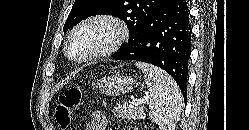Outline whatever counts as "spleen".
I'll return each instance as SVG.
<instances>
[{"label": "spleen", "instance_id": "3e777b00", "mask_svg": "<svg viewBox=\"0 0 249 130\" xmlns=\"http://www.w3.org/2000/svg\"><path fill=\"white\" fill-rule=\"evenodd\" d=\"M148 87L149 118L160 130H174L182 110V94L173 78L161 68L136 62Z\"/></svg>", "mask_w": 249, "mask_h": 130}]
</instances>
